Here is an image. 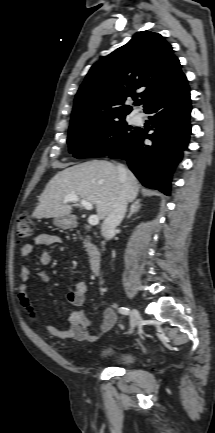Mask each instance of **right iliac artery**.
I'll return each instance as SVG.
<instances>
[{
    "label": "right iliac artery",
    "mask_w": 215,
    "mask_h": 433,
    "mask_svg": "<svg viewBox=\"0 0 215 433\" xmlns=\"http://www.w3.org/2000/svg\"><path fill=\"white\" fill-rule=\"evenodd\" d=\"M119 312H120L121 314H124V315H129V314H130V309L125 308V307H120V308H119Z\"/></svg>",
    "instance_id": "1"
}]
</instances>
